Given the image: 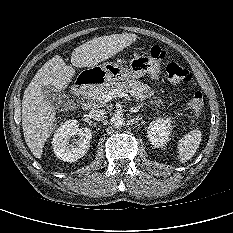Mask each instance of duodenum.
<instances>
[{
	"label": "duodenum",
	"mask_w": 233,
	"mask_h": 233,
	"mask_svg": "<svg viewBox=\"0 0 233 233\" xmlns=\"http://www.w3.org/2000/svg\"><path fill=\"white\" fill-rule=\"evenodd\" d=\"M101 75L84 74L80 76L72 86V92L76 95L83 93L90 86L100 83Z\"/></svg>",
	"instance_id": "410a0bca"
}]
</instances>
